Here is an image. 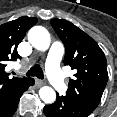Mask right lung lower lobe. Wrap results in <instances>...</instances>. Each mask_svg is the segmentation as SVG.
Segmentation results:
<instances>
[{"mask_svg": "<svg viewBox=\"0 0 117 117\" xmlns=\"http://www.w3.org/2000/svg\"><path fill=\"white\" fill-rule=\"evenodd\" d=\"M33 84L34 79L30 78L11 99H9L2 107H0V117H11L18 107L21 95L29 88V86Z\"/></svg>", "mask_w": 117, "mask_h": 117, "instance_id": "1", "label": "right lung lower lobe"}]
</instances>
